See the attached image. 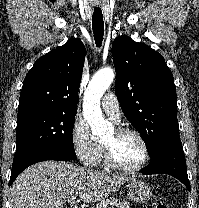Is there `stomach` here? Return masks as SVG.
<instances>
[{"label":"stomach","mask_w":199,"mask_h":208,"mask_svg":"<svg viewBox=\"0 0 199 208\" xmlns=\"http://www.w3.org/2000/svg\"><path fill=\"white\" fill-rule=\"evenodd\" d=\"M126 188L128 197L138 203L148 201L153 195L149 184L142 180L130 179Z\"/></svg>","instance_id":"1"}]
</instances>
